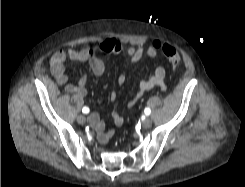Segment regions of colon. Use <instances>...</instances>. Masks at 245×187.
Segmentation results:
<instances>
[{"instance_id":"1","label":"colon","mask_w":245,"mask_h":187,"mask_svg":"<svg viewBox=\"0 0 245 187\" xmlns=\"http://www.w3.org/2000/svg\"><path fill=\"white\" fill-rule=\"evenodd\" d=\"M159 49L173 68H178L181 65V56L173 46L164 43L159 47Z\"/></svg>"}]
</instances>
